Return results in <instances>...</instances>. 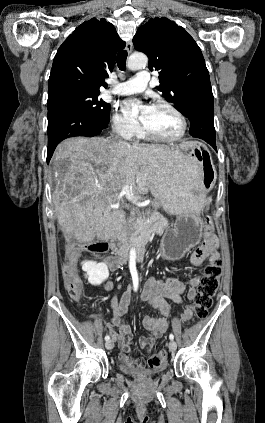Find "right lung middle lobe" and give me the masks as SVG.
I'll return each mask as SVG.
<instances>
[{
    "label": "right lung middle lobe",
    "instance_id": "1",
    "mask_svg": "<svg viewBox=\"0 0 265 423\" xmlns=\"http://www.w3.org/2000/svg\"><path fill=\"white\" fill-rule=\"evenodd\" d=\"M98 92L71 90L48 97L47 108L57 105L77 106L89 114L108 123L110 121V104L98 98Z\"/></svg>",
    "mask_w": 265,
    "mask_h": 423
}]
</instances>
